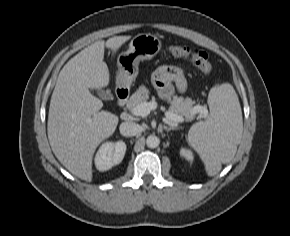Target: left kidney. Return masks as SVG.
<instances>
[{
    "instance_id": "1",
    "label": "left kidney",
    "mask_w": 290,
    "mask_h": 236,
    "mask_svg": "<svg viewBox=\"0 0 290 236\" xmlns=\"http://www.w3.org/2000/svg\"><path fill=\"white\" fill-rule=\"evenodd\" d=\"M180 155L182 157H184L186 160H188L189 162H192L193 161V158H194L193 157V153L190 150H188V149L182 148L180 150Z\"/></svg>"
}]
</instances>
